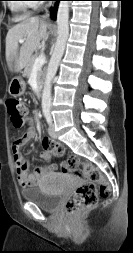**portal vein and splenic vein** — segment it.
Returning <instances> with one entry per match:
<instances>
[{
	"label": "portal vein and splenic vein",
	"mask_w": 133,
	"mask_h": 253,
	"mask_svg": "<svg viewBox=\"0 0 133 253\" xmlns=\"http://www.w3.org/2000/svg\"><path fill=\"white\" fill-rule=\"evenodd\" d=\"M24 42V39H20L19 40V43H23ZM45 55L43 53H41L35 60V63L33 65V68H38V67H41L44 63H45Z\"/></svg>",
	"instance_id": "portal-vein-and-splenic-vein-1"
}]
</instances>
